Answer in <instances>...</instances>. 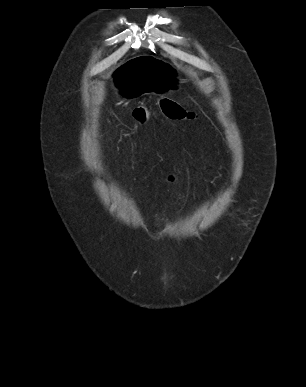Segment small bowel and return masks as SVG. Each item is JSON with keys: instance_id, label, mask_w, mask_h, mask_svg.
I'll list each match as a JSON object with an SVG mask.
<instances>
[{"instance_id": "c3829d8e", "label": "small bowel", "mask_w": 306, "mask_h": 387, "mask_svg": "<svg viewBox=\"0 0 306 387\" xmlns=\"http://www.w3.org/2000/svg\"><path fill=\"white\" fill-rule=\"evenodd\" d=\"M167 180L169 183L173 184L177 181V176L175 174H171L168 176Z\"/></svg>"}]
</instances>
